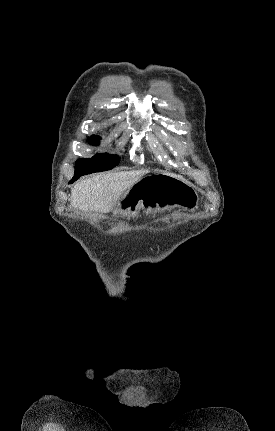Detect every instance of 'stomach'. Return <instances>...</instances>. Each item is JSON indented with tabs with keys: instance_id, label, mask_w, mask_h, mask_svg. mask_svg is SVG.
<instances>
[{
	"instance_id": "1",
	"label": "stomach",
	"mask_w": 275,
	"mask_h": 431,
	"mask_svg": "<svg viewBox=\"0 0 275 431\" xmlns=\"http://www.w3.org/2000/svg\"><path fill=\"white\" fill-rule=\"evenodd\" d=\"M198 202V194L186 181L169 174L154 173L134 183L112 211L128 217L135 216L140 209L146 213L173 208L193 211Z\"/></svg>"
}]
</instances>
